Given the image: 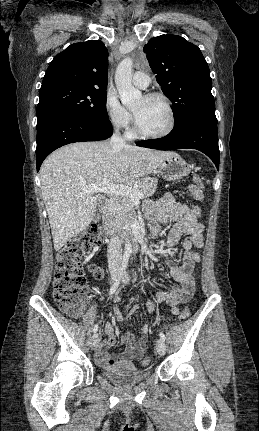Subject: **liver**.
<instances>
[{
  "mask_svg": "<svg viewBox=\"0 0 259 431\" xmlns=\"http://www.w3.org/2000/svg\"><path fill=\"white\" fill-rule=\"evenodd\" d=\"M171 154L132 145L112 149L109 142H77L49 155L40 179L54 249L59 251L94 218L102 196L84 193L83 187L132 182L154 172Z\"/></svg>",
  "mask_w": 259,
  "mask_h": 431,
  "instance_id": "1",
  "label": "liver"
}]
</instances>
